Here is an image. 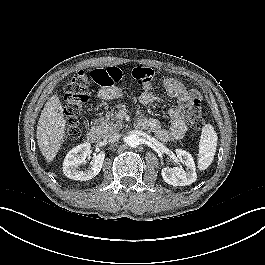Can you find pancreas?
I'll list each match as a JSON object with an SVG mask.
<instances>
[{
	"instance_id": "cf45deb5",
	"label": "pancreas",
	"mask_w": 265,
	"mask_h": 265,
	"mask_svg": "<svg viewBox=\"0 0 265 265\" xmlns=\"http://www.w3.org/2000/svg\"><path fill=\"white\" fill-rule=\"evenodd\" d=\"M123 126L122 120L116 117L115 112L107 113L105 117H101L97 122V128L100 130L102 136L118 133Z\"/></svg>"
}]
</instances>
